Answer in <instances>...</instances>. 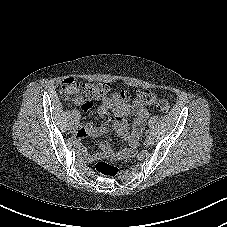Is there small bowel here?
<instances>
[{
    "label": "small bowel",
    "mask_w": 227,
    "mask_h": 227,
    "mask_svg": "<svg viewBox=\"0 0 227 227\" xmlns=\"http://www.w3.org/2000/svg\"><path fill=\"white\" fill-rule=\"evenodd\" d=\"M74 104L80 107L83 111L105 115L111 112L115 121L113 123L114 130L130 144V148L123 149L122 151L114 154L112 149L106 144H102L103 152L106 157L125 156L132 152L135 147L139 137L144 131L145 120L149 116V112L145 105L135 100L133 103L129 102V95L125 92L114 93L109 97H103L100 99L99 106L94 109L93 103L83 99L81 96H77L73 99ZM132 115L134 117L132 123V130L129 131L126 117ZM108 123H103L100 125H88L84 128H80L77 131L76 137L81 140L87 136H98L104 134L108 131ZM90 159L96 158L95 155H88Z\"/></svg>",
    "instance_id": "1"
}]
</instances>
